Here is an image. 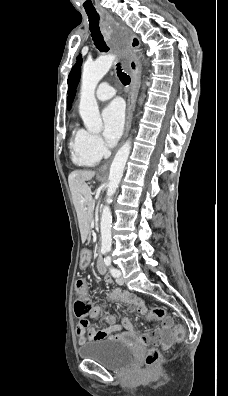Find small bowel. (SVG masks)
<instances>
[{
    "label": "small bowel",
    "instance_id": "small-bowel-1",
    "mask_svg": "<svg viewBox=\"0 0 228 396\" xmlns=\"http://www.w3.org/2000/svg\"><path fill=\"white\" fill-rule=\"evenodd\" d=\"M90 262V253L84 251L81 256V266L86 268ZM106 284H111L112 279L110 276L106 275L104 277ZM107 300L110 302L121 301L128 306L130 311H137L139 313H146V307L143 302L135 295L121 289H115L108 294ZM103 313V308L100 306L94 307L89 313L90 318H95ZM105 322L107 326L102 329H96L95 327L79 328L77 326V336L78 343L83 345L87 342H96L106 339H134L137 337V332L127 318H123L121 324L114 323V317L108 315L105 317ZM168 327L163 326L161 328H156L150 335L140 336V340L145 343L151 344H162L165 348L169 347L170 342L168 339Z\"/></svg>",
    "mask_w": 228,
    "mask_h": 396
}]
</instances>
